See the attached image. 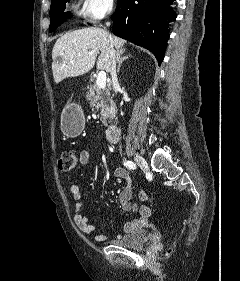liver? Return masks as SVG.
Segmentation results:
<instances>
[{
	"label": "liver",
	"instance_id": "1",
	"mask_svg": "<svg viewBox=\"0 0 240 281\" xmlns=\"http://www.w3.org/2000/svg\"><path fill=\"white\" fill-rule=\"evenodd\" d=\"M125 43V40L112 36L98 27L79 29L64 34L57 39L52 50V72L55 83L90 71L95 65L99 52L97 69L110 72L111 47L123 50Z\"/></svg>",
	"mask_w": 240,
	"mask_h": 281
}]
</instances>
